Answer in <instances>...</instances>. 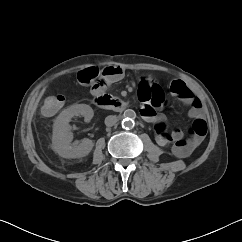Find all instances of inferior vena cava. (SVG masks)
<instances>
[{"label":"inferior vena cava","instance_id":"obj_1","mask_svg":"<svg viewBox=\"0 0 242 242\" xmlns=\"http://www.w3.org/2000/svg\"><path fill=\"white\" fill-rule=\"evenodd\" d=\"M118 121V117L116 115H109L105 118V125L111 127L115 125Z\"/></svg>","mask_w":242,"mask_h":242}]
</instances>
